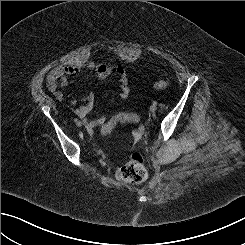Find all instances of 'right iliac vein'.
<instances>
[{
    "label": "right iliac vein",
    "instance_id": "obj_1",
    "mask_svg": "<svg viewBox=\"0 0 245 245\" xmlns=\"http://www.w3.org/2000/svg\"><path fill=\"white\" fill-rule=\"evenodd\" d=\"M82 124H83V123H82L81 121H79V123H78L77 125H78V126H82Z\"/></svg>",
    "mask_w": 245,
    "mask_h": 245
}]
</instances>
